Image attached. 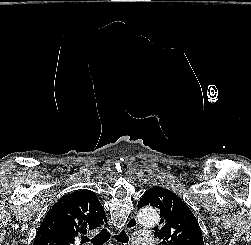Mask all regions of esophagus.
Returning a JSON list of instances; mask_svg holds the SVG:
<instances>
[{
	"label": "esophagus",
	"mask_w": 251,
	"mask_h": 245,
	"mask_svg": "<svg viewBox=\"0 0 251 245\" xmlns=\"http://www.w3.org/2000/svg\"><path fill=\"white\" fill-rule=\"evenodd\" d=\"M138 226V221L135 216H131L125 224L127 230H132Z\"/></svg>",
	"instance_id": "1"
}]
</instances>
